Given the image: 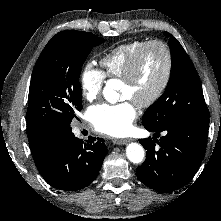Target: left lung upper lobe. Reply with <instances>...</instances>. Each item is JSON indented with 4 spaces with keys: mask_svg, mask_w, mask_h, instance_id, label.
<instances>
[{
    "mask_svg": "<svg viewBox=\"0 0 221 221\" xmlns=\"http://www.w3.org/2000/svg\"><path fill=\"white\" fill-rule=\"evenodd\" d=\"M166 35L170 37L171 76L164 94L142 117L143 126L150 130H160L180 118L208 113L200 79L189 56L178 40Z\"/></svg>",
    "mask_w": 221,
    "mask_h": 221,
    "instance_id": "1",
    "label": "left lung upper lobe"
}]
</instances>
